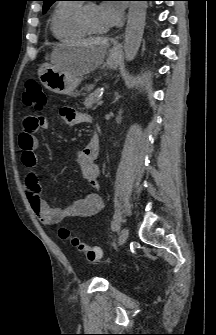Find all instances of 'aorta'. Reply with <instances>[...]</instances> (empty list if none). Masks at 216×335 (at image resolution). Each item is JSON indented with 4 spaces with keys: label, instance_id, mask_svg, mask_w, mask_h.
I'll return each mask as SVG.
<instances>
[{
    "label": "aorta",
    "instance_id": "1",
    "mask_svg": "<svg viewBox=\"0 0 216 335\" xmlns=\"http://www.w3.org/2000/svg\"><path fill=\"white\" fill-rule=\"evenodd\" d=\"M146 9V1H132L130 3L124 38L126 61H132L139 50L144 33Z\"/></svg>",
    "mask_w": 216,
    "mask_h": 335
}]
</instances>
